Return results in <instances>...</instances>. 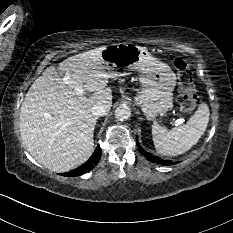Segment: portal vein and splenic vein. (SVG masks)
<instances>
[{"instance_id":"obj_1","label":"portal vein and splenic vein","mask_w":233,"mask_h":233,"mask_svg":"<svg viewBox=\"0 0 233 233\" xmlns=\"http://www.w3.org/2000/svg\"><path fill=\"white\" fill-rule=\"evenodd\" d=\"M64 83L65 84H70V85H72L73 87H74V89L76 90V92H77V94H83V89H82V87L80 86V85H78L75 81H71L70 79H69V77H64Z\"/></svg>"}]
</instances>
